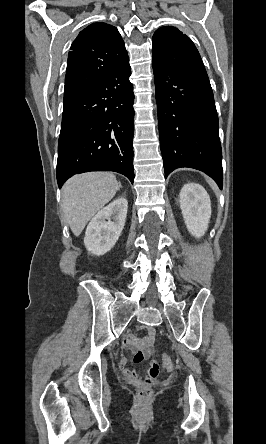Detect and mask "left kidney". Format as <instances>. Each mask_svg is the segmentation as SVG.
Listing matches in <instances>:
<instances>
[{
  "label": "left kidney",
  "mask_w": 266,
  "mask_h": 444,
  "mask_svg": "<svg viewBox=\"0 0 266 444\" xmlns=\"http://www.w3.org/2000/svg\"><path fill=\"white\" fill-rule=\"evenodd\" d=\"M180 209L188 231L196 238L207 231L211 217V202L199 184L187 183L180 191Z\"/></svg>",
  "instance_id": "1"
}]
</instances>
